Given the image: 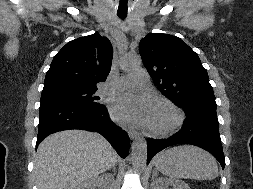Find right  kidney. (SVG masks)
Returning a JSON list of instances; mask_svg holds the SVG:
<instances>
[{"label": "right kidney", "mask_w": 253, "mask_h": 189, "mask_svg": "<svg viewBox=\"0 0 253 189\" xmlns=\"http://www.w3.org/2000/svg\"><path fill=\"white\" fill-rule=\"evenodd\" d=\"M108 177L110 178L108 179ZM113 182L114 179L111 174H103L102 176H96L82 182L76 189H95L96 187L100 189H113Z\"/></svg>", "instance_id": "1"}]
</instances>
